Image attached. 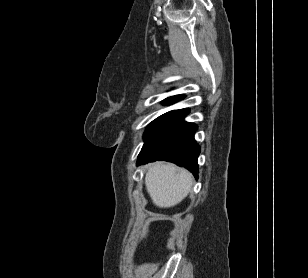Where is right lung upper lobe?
<instances>
[{"label":"right lung upper lobe","mask_w":308,"mask_h":278,"mask_svg":"<svg viewBox=\"0 0 308 278\" xmlns=\"http://www.w3.org/2000/svg\"><path fill=\"white\" fill-rule=\"evenodd\" d=\"M184 97H185L184 95L171 96L163 100L162 103L164 105H170V104H173V103H176L182 100ZM188 112H189V109L173 110V111L163 114L162 116H175L179 118V117L186 115Z\"/></svg>","instance_id":"cb5924a9"}]
</instances>
